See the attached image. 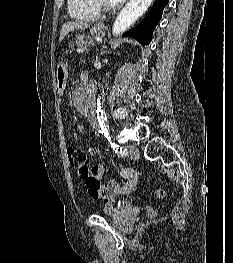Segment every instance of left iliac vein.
Wrapping results in <instances>:
<instances>
[{
	"label": "left iliac vein",
	"instance_id": "left-iliac-vein-1",
	"mask_svg": "<svg viewBox=\"0 0 233 263\" xmlns=\"http://www.w3.org/2000/svg\"><path fill=\"white\" fill-rule=\"evenodd\" d=\"M128 149V156L132 159H138L139 158V149L136 145L130 144L127 146Z\"/></svg>",
	"mask_w": 233,
	"mask_h": 263
}]
</instances>
